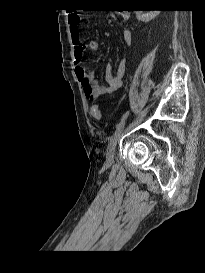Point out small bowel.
Instances as JSON below:
<instances>
[{
  "instance_id": "obj_1",
  "label": "small bowel",
  "mask_w": 205,
  "mask_h": 273,
  "mask_svg": "<svg viewBox=\"0 0 205 273\" xmlns=\"http://www.w3.org/2000/svg\"><path fill=\"white\" fill-rule=\"evenodd\" d=\"M121 17L122 19H128L129 15L124 12L121 14ZM68 23L73 43V59L76 64L75 75L82 85L86 98L93 101L102 95L112 93L120 88L126 69L125 61H121L118 64L115 74L112 73L110 64H107L105 67L106 85L99 84L94 79L93 72L87 71L81 65L85 49L97 51L99 49V43L95 40H90L86 44L83 43L79 33L80 16L78 14H70L68 16ZM122 40L126 45L131 44L132 34L130 30H124L122 32Z\"/></svg>"
}]
</instances>
